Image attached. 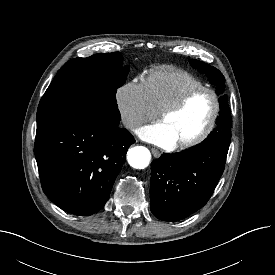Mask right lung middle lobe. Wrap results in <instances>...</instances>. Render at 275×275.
Masks as SVG:
<instances>
[{
    "label": "right lung middle lobe",
    "mask_w": 275,
    "mask_h": 275,
    "mask_svg": "<svg viewBox=\"0 0 275 275\" xmlns=\"http://www.w3.org/2000/svg\"><path fill=\"white\" fill-rule=\"evenodd\" d=\"M119 52L69 60L44 93L37 110V132L63 120L92 116L120 123L116 103L129 66Z\"/></svg>",
    "instance_id": "right-lung-middle-lobe-1"
}]
</instances>
